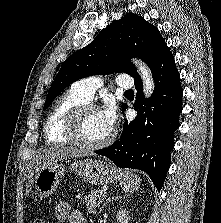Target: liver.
<instances>
[{"label": "liver", "mask_w": 221, "mask_h": 223, "mask_svg": "<svg viewBox=\"0 0 221 223\" xmlns=\"http://www.w3.org/2000/svg\"><path fill=\"white\" fill-rule=\"evenodd\" d=\"M85 152L75 147H66L64 145L52 146L50 148L41 151L35 159V176L31 175L29 182L27 184L26 191L29 193L34 179L41 169L46 166L52 165L61 160H66L70 158H77L83 156Z\"/></svg>", "instance_id": "1"}]
</instances>
